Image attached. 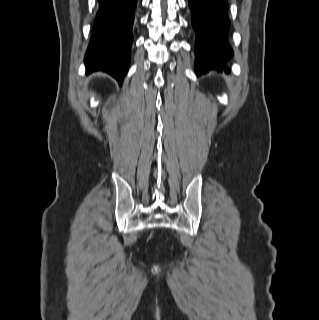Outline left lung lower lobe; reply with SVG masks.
<instances>
[{
  "mask_svg": "<svg viewBox=\"0 0 319 320\" xmlns=\"http://www.w3.org/2000/svg\"><path fill=\"white\" fill-rule=\"evenodd\" d=\"M189 6L196 33L195 70L202 74L212 68H225V62L233 55L226 39L228 1L189 0Z\"/></svg>",
  "mask_w": 319,
  "mask_h": 320,
  "instance_id": "left-lung-lower-lobe-1",
  "label": "left lung lower lobe"
}]
</instances>
